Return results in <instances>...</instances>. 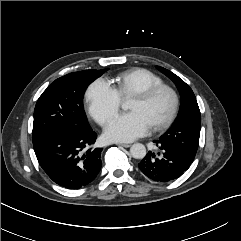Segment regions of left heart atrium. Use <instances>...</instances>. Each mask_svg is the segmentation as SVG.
<instances>
[{
  "mask_svg": "<svg viewBox=\"0 0 241 241\" xmlns=\"http://www.w3.org/2000/svg\"><path fill=\"white\" fill-rule=\"evenodd\" d=\"M151 124L140 112L131 111L114 117L105 129V138L112 142H130L147 134Z\"/></svg>",
  "mask_w": 241,
  "mask_h": 241,
  "instance_id": "39dd6f15",
  "label": "left heart atrium"
}]
</instances>
